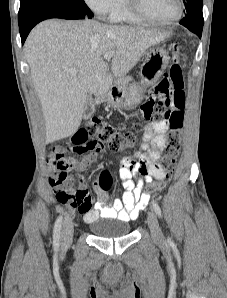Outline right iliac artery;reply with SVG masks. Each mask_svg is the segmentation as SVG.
Here are the masks:
<instances>
[{
    "label": "right iliac artery",
    "mask_w": 227,
    "mask_h": 298,
    "mask_svg": "<svg viewBox=\"0 0 227 298\" xmlns=\"http://www.w3.org/2000/svg\"><path fill=\"white\" fill-rule=\"evenodd\" d=\"M61 226H62V216H59L55 222V226L53 230V247L55 251H57L59 248Z\"/></svg>",
    "instance_id": "82829eb1"
}]
</instances>
